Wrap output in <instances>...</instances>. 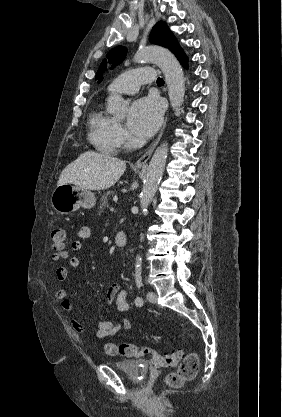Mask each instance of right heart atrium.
I'll list each match as a JSON object with an SVG mask.
<instances>
[{
    "mask_svg": "<svg viewBox=\"0 0 282 417\" xmlns=\"http://www.w3.org/2000/svg\"><path fill=\"white\" fill-rule=\"evenodd\" d=\"M118 136H119L120 143L125 142L128 138L127 134L121 127H118Z\"/></svg>",
    "mask_w": 282,
    "mask_h": 417,
    "instance_id": "right-heart-atrium-1",
    "label": "right heart atrium"
}]
</instances>
